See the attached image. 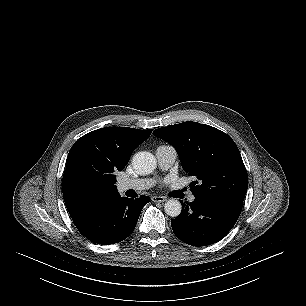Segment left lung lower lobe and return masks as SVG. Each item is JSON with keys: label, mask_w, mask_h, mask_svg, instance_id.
Here are the masks:
<instances>
[{"label": "left lung lower lobe", "mask_w": 306, "mask_h": 306, "mask_svg": "<svg viewBox=\"0 0 306 306\" xmlns=\"http://www.w3.org/2000/svg\"><path fill=\"white\" fill-rule=\"evenodd\" d=\"M182 203L180 215L171 221L174 234L193 246L214 244L224 238L240 216L243 202L228 198H200Z\"/></svg>", "instance_id": "1"}]
</instances>
